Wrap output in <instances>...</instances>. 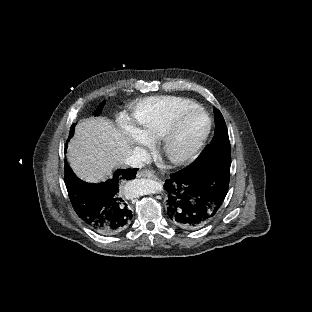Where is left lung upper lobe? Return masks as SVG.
<instances>
[{"label":"left lung upper lobe","mask_w":312,"mask_h":312,"mask_svg":"<svg viewBox=\"0 0 312 312\" xmlns=\"http://www.w3.org/2000/svg\"><path fill=\"white\" fill-rule=\"evenodd\" d=\"M214 111L216 120L214 137L202 154L192 163L193 166L217 160L220 156L231 158L230 141L224 118L218 109L215 108Z\"/></svg>","instance_id":"5c2ea615"}]
</instances>
